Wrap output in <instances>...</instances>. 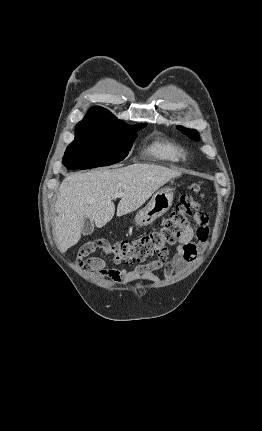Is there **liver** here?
<instances>
[{
    "instance_id": "obj_1",
    "label": "liver",
    "mask_w": 262,
    "mask_h": 431,
    "mask_svg": "<svg viewBox=\"0 0 262 431\" xmlns=\"http://www.w3.org/2000/svg\"><path fill=\"white\" fill-rule=\"evenodd\" d=\"M181 172L159 165L136 163L118 169H99L69 175L62 182L55 211V236L63 253L81 238L82 221L89 218L98 228L115 214L112 198L115 192L124 195L117 206V216L141 207L161 186Z\"/></svg>"
}]
</instances>
